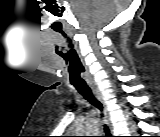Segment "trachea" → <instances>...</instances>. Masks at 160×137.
I'll return each mask as SVG.
<instances>
[{
    "label": "trachea",
    "instance_id": "obj_1",
    "mask_svg": "<svg viewBox=\"0 0 160 137\" xmlns=\"http://www.w3.org/2000/svg\"><path fill=\"white\" fill-rule=\"evenodd\" d=\"M70 53L73 55L74 59L70 60V68L73 70L74 74L71 75V82L80 92V94L93 106L98 108L101 112L103 111L102 104L97 100L91 91H82L83 88H88L86 81L81 77V73L84 72V68L80 62V59L76 55L74 50H71ZM103 115V114H101ZM104 132L106 136L101 137H112L107 126H104Z\"/></svg>",
    "mask_w": 160,
    "mask_h": 137
}]
</instances>
